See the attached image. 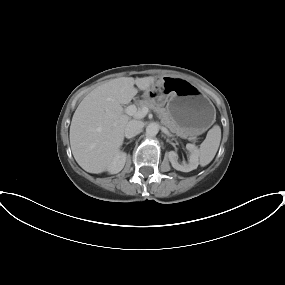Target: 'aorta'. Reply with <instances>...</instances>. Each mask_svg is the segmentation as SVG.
I'll return each mask as SVG.
<instances>
[{
  "label": "aorta",
  "mask_w": 285,
  "mask_h": 285,
  "mask_svg": "<svg viewBox=\"0 0 285 285\" xmlns=\"http://www.w3.org/2000/svg\"><path fill=\"white\" fill-rule=\"evenodd\" d=\"M159 132V125L157 123H151L146 128V135L149 137H154Z\"/></svg>",
  "instance_id": "762f6f07"
}]
</instances>
